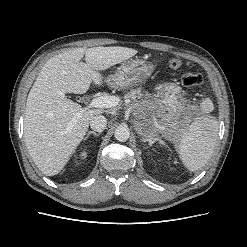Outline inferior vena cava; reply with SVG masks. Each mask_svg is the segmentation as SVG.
<instances>
[{
    "mask_svg": "<svg viewBox=\"0 0 247 247\" xmlns=\"http://www.w3.org/2000/svg\"><path fill=\"white\" fill-rule=\"evenodd\" d=\"M107 126V119L102 115L94 116L90 121V127L94 131L102 132Z\"/></svg>",
    "mask_w": 247,
    "mask_h": 247,
    "instance_id": "1",
    "label": "inferior vena cava"
}]
</instances>
